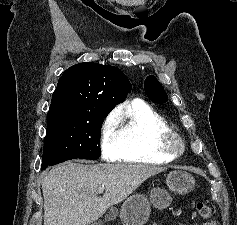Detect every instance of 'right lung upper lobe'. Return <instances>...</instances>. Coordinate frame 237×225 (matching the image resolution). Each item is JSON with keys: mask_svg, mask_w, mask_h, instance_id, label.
<instances>
[{"mask_svg": "<svg viewBox=\"0 0 237 225\" xmlns=\"http://www.w3.org/2000/svg\"><path fill=\"white\" fill-rule=\"evenodd\" d=\"M131 88L128 78L114 66L91 62L71 66L58 81L48 119L94 118L110 112L125 99Z\"/></svg>", "mask_w": 237, "mask_h": 225, "instance_id": "obj_1", "label": "right lung upper lobe"}]
</instances>
